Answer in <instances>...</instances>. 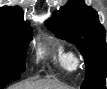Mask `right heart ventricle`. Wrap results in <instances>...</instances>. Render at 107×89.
I'll use <instances>...</instances> for the list:
<instances>
[{"mask_svg":"<svg viewBox=\"0 0 107 89\" xmlns=\"http://www.w3.org/2000/svg\"><path fill=\"white\" fill-rule=\"evenodd\" d=\"M54 59L65 71L72 72L76 69V55L68 46L64 44H57L54 49Z\"/></svg>","mask_w":107,"mask_h":89,"instance_id":"right-heart-ventricle-1","label":"right heart ventricle"}]
</instances>
